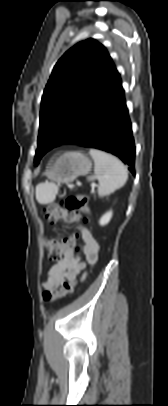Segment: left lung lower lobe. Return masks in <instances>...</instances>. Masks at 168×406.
<instances>
[{"label":"left lung lower lobe","mask_w":168,"mask_h":406,"mask_svg":"<svg viewBox=\"0 0 168 406\" xmlns=\"http://www.w3.org/2000/svg\"><path fill=\"white\" fill-rule=\"evenodd\" d=\"M62 145L96 148L118 156L135 174V145L120 75L97 101L80 130Z\"/></svg>","instance_id":"0a47b994"}]
</instances>
